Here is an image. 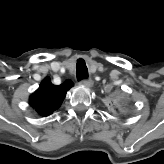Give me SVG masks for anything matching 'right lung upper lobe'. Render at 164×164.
I'll return each instance as SVG.
<instances>
[{"mask_svg": "<svg viewBox=\"0 0 164 164\" xmlns=\"http://www.w3.org/2000/svg\"><path fill=\"white\" fill-rule=\"evenodd\" d=\"M72 86L73 84L70 81H66L60 86H54L50 79L46 77L34 94L30 96V105L35 107L39 114L48 116L59 108L67 90Z\"/></svg>", "mask_w": 164, "mask_h": 164, "instance_id": "right-lung-upper-lobe-1", "label": "right lung upper lobe"}]
</instances>
